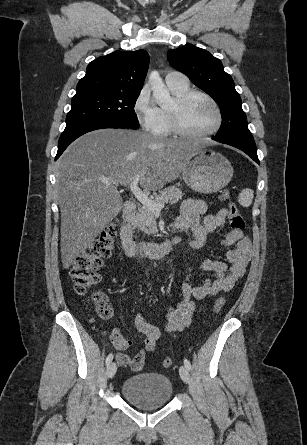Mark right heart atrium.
Here are the masks:
<instances>
[{"instance_id":"1","label":"right heart atrium","mask_w":307,"mask_h":445,"mask_svg":"<svg viewBox=\"0 0 307 445\" xmlns=\"http://www.w3.org/2000/svg\"><path fill=\"white\" fill-rule=\"evenodd\" d=\"M133 115L141 126L148 133L159 131L161 115L155 98L147 87H143L133 102Z\"/></svg>"}]
</instances>
